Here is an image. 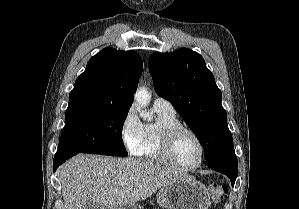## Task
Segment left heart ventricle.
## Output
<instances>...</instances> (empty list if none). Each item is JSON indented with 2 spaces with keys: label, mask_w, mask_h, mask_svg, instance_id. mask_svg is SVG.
<instances>
[{
  "label": "left heart ventricle",
  "mask_w": 299,
  "mask_h": 209,
  "mask_svg": "<svg viewBox=\"0 0 299 209\" xmlns=\"http://www.w3.org/2000/svg\"><path fill=\"white\" fill-rule=\"evenodd\" d=\"M174 157L182 165L192 166L200 159V146L193 136L181 134L175 141Z\"/></svg>",
  "instance_id": "obj_1"
}]
</instances>
